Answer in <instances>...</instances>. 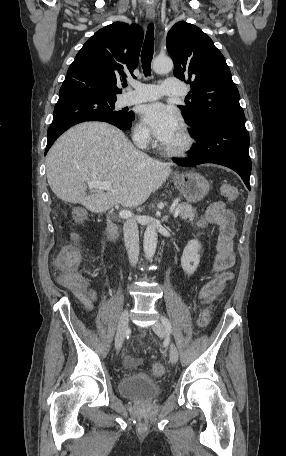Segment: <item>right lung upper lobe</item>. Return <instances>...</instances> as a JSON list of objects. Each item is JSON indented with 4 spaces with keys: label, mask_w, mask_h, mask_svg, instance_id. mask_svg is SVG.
<instances>
[{
    "label": "right lung upper lobe",
    "mask_w": 286,
    "mask_h": 456,
    "mask_svg": "<svg viewBox=\"0 0 286 456\" xmlns=\"http://www.w3.org/2000/svg\"><path fill=\"white\" fill-rule=\"evenodd\" d=\"M143 30L137 24L114 22L90 37L70 65L63 85H81L106 100H116L118 84L133 76Z\"/></svg>",
    "instance_id": "obj_1"
}]
</instances>
